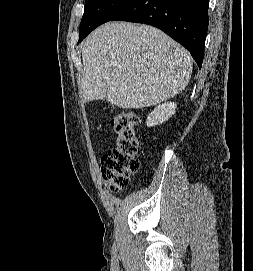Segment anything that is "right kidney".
Returning a JSON list of instances; mask_svg holds the SVG:
<instances>
[{
    "instance_id": "right-kidney-1",
    "label": "right kidney",
    "mask_w": 253,
    "mask_h": 271,
    "mask_svg": "<svg viewBox=\"0 0 253 271\" xmlns=\"http://www.w3.org/2000/svg\"><path fill=\"white\" fill-rule=\"evenodd\" d=\"M176 103L165 102L158 105L147 117L146 125L153 127L167 121L176 111Z\"/></svg>"
}]
</instances>
